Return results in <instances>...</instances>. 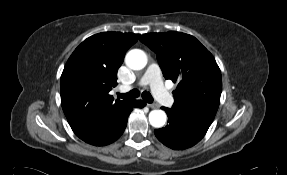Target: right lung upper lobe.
Listing matches in <instances>:
<instances>
[{"mask_svg":"<svg viewBox=\"0 0 287 175\" xmlns=\"http://www.w3.org/2000/svg\"><path fill=\"white\" fill-rule=\"evenodd\" d=\"M139 34L103 32L84 40L61 75V105L73 132L84 138L111 122L130 100H114L117 71Z\"/></svg>","mask_w":287,"mask_h":175,"instance_id":"right-lung-upper-lobe-1","label":"right lung upper lobe"}]
</instances>
